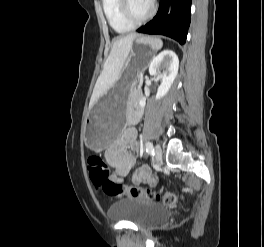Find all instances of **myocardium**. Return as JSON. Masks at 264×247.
Returning <instances> with one entry per match:
<instances>
[{"mask_svg": "<svg viewBox=\"0 0 264 247\" xmlns=\"http://www.w3.org/2000/svg\"><path fill=\"white\" fill-rule=\"evenodd\" d=\"M119 9L122 17L132 26L140 25L150 19L155 12V5L153 1L150 2L148 12L142 17H135L130 9V0H119Z\"/></svg>", "mask_w": 264, "mask_h": 247, "instance_id": "f54148a6", "label": "myocardium"}]
</instances>
